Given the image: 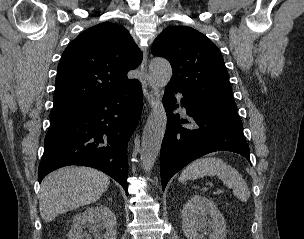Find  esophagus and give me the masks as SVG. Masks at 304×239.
Listing matches in <instances>:
<instances>
[{"instance_id": "1", "label": "esophagus", "mask_w": 304, "mask_h": 239, "mask_svg": "<svg viewBox=\"0 0 304 239\" xmlns=\"http://www.w3.org/2000/svg\"><path fill=\"white\" fill-rule=\"evenodd\" d=\"M147 50L143 51V59L140 65L141 74L143 76L142 87L144 96L150 107L155 108L158 105V89L152 83L148 76L147 64H148V56Z\"/></svg>"}]
</instances>
